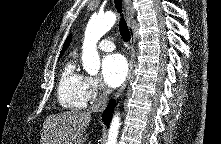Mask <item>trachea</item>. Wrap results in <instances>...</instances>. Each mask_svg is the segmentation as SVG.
<instances>
[{"label": "trachea", "instance_id": "trachea-1", "mask_svg": "<svg viewBox=\"0 0 221 144\" xmlns=\"http://www.w3.org/2000/svg\"><path fill=\"white\" fill-rule=\"evenodd\" d=\"M115 7L117 9V12L120 14V22H119V31L120 35L122 36L123 40L125 42L130 41V32L128 29V26L126 24V21L124 19V16L122 14V1L121 0H114Z\"/></svg>", "mask_w": 221, "mask_h": 144}]
</instances>
